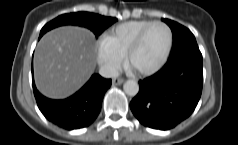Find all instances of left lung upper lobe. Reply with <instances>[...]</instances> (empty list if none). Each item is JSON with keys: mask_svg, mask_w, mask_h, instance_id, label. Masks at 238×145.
Returning <instances> with one entry per match:
<instances>
[{"mask_svg": "<svg viewBox=\"0 0 238 145\" xmlns=\"http://www.w3.org/2000/svg\"><path fill=\"white\" fill-rule=\"evenodd\" d=\"M162 20L170 26L173 33V47L170 56H173L184 49L198 46L194 35L189 29L172 20Z\"/></svg>", "mask_w": 238, "mask_h": 145, "instance_id": "obj_1", "label": "left lung upper lobe"}]
</instances>
